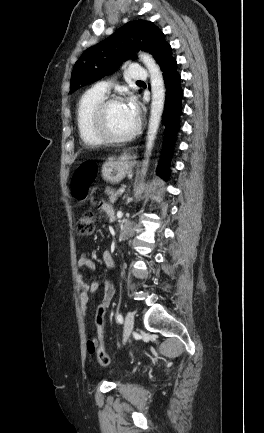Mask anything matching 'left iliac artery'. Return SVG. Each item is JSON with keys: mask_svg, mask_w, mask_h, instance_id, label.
Returning <instances> with one entry per match:
<instances>
[{"mask_svg": "<svg viewBox=\"0 0 264 433\" xmlns=\"http://www.w3.org/2000/svg\"><path fill=\"white\" fill-rule=\"evenodd\" d=\"M116 319H117V321H118L119 323H122V322H123V317H122L121 314H117Z\"/></svg>", "mask_w": 264, "mask_h": 433, "instance_id": "left-iliac-artery-1", "label": "left iliac artery"}]
</instances>
